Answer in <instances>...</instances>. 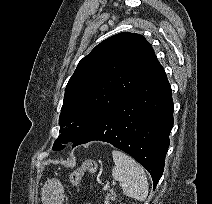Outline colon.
<instances>
[{
    "instance_id": "5ec220e1",
    "label": "colon",
    "mask_w": 212,
    "mask_h": 204,
    "mask_svg": "<svg viewBox=\"0 0 212 204\" xmlns=\"http://www.w3.org/2000/svg\"><path fill=\"white\" fill-rule=\"evenodd\" d=\"M97 171V163L94 160H85L70 175V182L73 186H78L85 173L94 174Z\"/></svg>"
}]
</instances>
